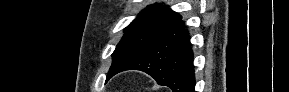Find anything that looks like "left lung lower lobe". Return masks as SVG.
<instances>
[{
  "mask_svg": "<svg viewBox=\"0 0 289 92\" xmlns=\"http://www.w3.org/2000/svg\"><path fill=\"white\" fill-rule=\"evenodd\" d=\"M125 70H140L173 92H195L193 51L182 19L165 30L141 54L108 78Z\"/></svg>",
  "mask_w": 289,
  "mask_h": 92,
  "instance_id": "1",
  "label": "left lung lower lobe"
}]
</instances>
